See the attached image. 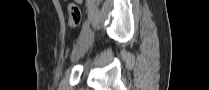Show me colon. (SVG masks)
Returning <instances> with one entry per match:
<instances>
[{
    "mask_svg": "<svg viewBox=\"0 0 209 90\" xmlns=\"http://www.w3.org/2000/svg\"><path fill=\"white\" fill-rule=\"evenodd\" d=\"M69 23L71 26H77L81 20V13L79 7L71 3L68 7Z\"/></svg>",
    "mask_w": 209,
    "mask_h": 90,
    "instance_id": "5ec220e1",
    "label": "colon"
}]
</instances>
